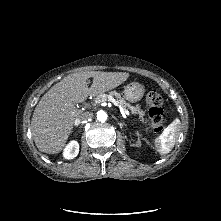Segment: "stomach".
<instances>
[{"label": "stomach", "instance_id": "stomach-1", "mask_svg": "<svg viewBox=\"0 0 221 221\" xmlns=\"http://www.w3.org/2000/svg\"><path fill=\"white\" fill-rule=\"evenodd\" d=\"M144 92V86L138 82H131L124 87L125 98L131 103L141 100Z\"/></svg>", "mask_w": 221, "mask_h": 221}]
</instances>
